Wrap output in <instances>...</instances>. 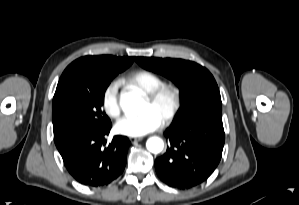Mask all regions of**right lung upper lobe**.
I'll list each match as a JSON object with an SVG mask.
<instances>
[{
  "instance_id": "right-lung-upper-lobe-1",
  "label": "right lung upper lobe",
  "mask_w": 299,
  "mask_h": 205,
  "mask_svg": "<svg viewBox=\"0 0 299 205\" xmlns=\"http://www.w3.org/2000/svg\"><path fill=\"white\" fill-rule=\"evenodd\" d=\"M134 59L135 57H116L111 55L81 57L75 60L74 62H72L65 69L61 78L70 71H76L82 73H103V74L116 73V72L119 73L124 71L126 68H128L133 63ZM59 84H60V80L58 86Z\"/></svg>"
}]
</instances>
